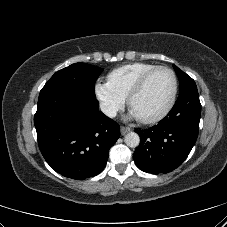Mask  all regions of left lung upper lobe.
I'll list each match as a JSON object with an SVG mask.
<instances>
[{"label":"left lung upper lobe","mask_w":227,"mask_h":227,"mask_svg":"<svg viewBox=\"0 0 227 227\" xmlns=\"http://www.w3.org/2000/svg\"><path fill=\"white\" fill-rule=\"evenodd\" d=\"M174 70L179 78L180 82V94H183L189 90L197 89V86L194 82V80L188 76L186 73H184L182 70H180L176 65L173 64Z\"/></svg>","instance_id":"1"}]
</instances>
